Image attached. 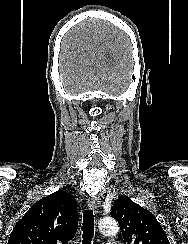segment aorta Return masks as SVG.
I'll list each match as a JSON object with an SVG mask.
<instances>
[{"mask_svg": "<svg viewBox=\"0 0 188 244\" xmlns=\"http://www.w3.org/2000/svg\"><path fill=\"white\" fill-rule=\"evenodd\" d=\"M118 229V223L112 217H104L99 222V230L104 235H115Z\"/></svg>", "mask_w": 188, "mask_h": 244, "instance_id": "aorta-1", "label": "aorta"}]
</instances>
